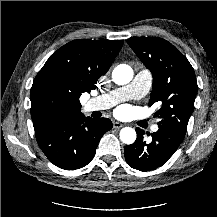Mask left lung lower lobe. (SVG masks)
Returning <instances> with one entry per match:
<instances>
[{
	"label": "left lung lower lobe",
	"instance_id": "obj_1",
	"mask_svg": "<svg viewBox=\"0 0 217 217\" xmlns=\"http://www.w3.org/2000/svg\"><path fill=\"white\" fill-rule=\"evenodd\" d=\"M136 131V141L124 148V154L129 166L140 171H151L166 163L185 136L172 127L159 125V130L151 134L152 141L147 143L145 132L140 128Z\"/></svg>",
	"mask_w": 217,
	"mask_h": 217
}]
</instances>
